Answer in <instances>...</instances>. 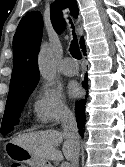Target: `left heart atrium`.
<instances>
[{"instance_id":"1","label":"left heart atrium","mask_w":125,"mask_h":167,"mask_svg":"<svg viewBox=\"0 0 125 167\" xmlns=\"http://www.w3.org/2000/svg\"><path fill=\"white\" fill-rule=\"evenodd\" d=\"M68 93L72 98H77L81 94L80 86L76 82L70 83Z\"/></svg>"}]
</instances>
